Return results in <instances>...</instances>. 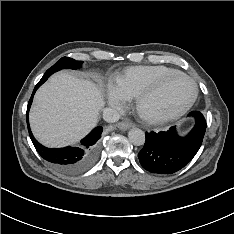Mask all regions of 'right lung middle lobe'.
<instances>
[{"label": "right lung middle lobe", "mask_w": 234, "mask_h": 234, "mask_svg": "<svg viewBox=\"0 0 234 234\" xmlns=\"http://www.w3.org/2000/svg\"><path fill=\"white\" fill-rule=\"evenodd\" d=\"M83 61H76L74 59H71L69 57H62L57 63H55L51 68H49L42 79H48V77L53 74L54 72H57L61 69L69 68V69H77L81 67V64Z\"/></svg>", "instance_id": "right-lung-middle-lobe-1"}]
</instances>
